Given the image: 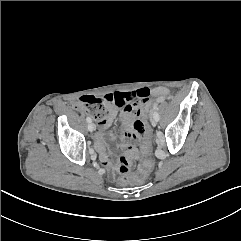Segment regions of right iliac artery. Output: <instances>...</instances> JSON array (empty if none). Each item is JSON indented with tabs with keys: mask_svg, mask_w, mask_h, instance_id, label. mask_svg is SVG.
Here are the masks:
<instances>
[{
	"mask_svg": "<svg viewBox=\"0 0 241 241\" xmlns=\"http://www.w3.org/2000/svg\"><path fill=\"white\" fill-rule=\"evenodd\" d=\"M86 120L88 123H90L92 121L90 117H87Z\"/></svg>",
	"mask_w": 241,
	"mask_h": 241,
	"instance_id": "right-iliac-artery-1",
	"label": "right iliac artery"
}]
</instances>
